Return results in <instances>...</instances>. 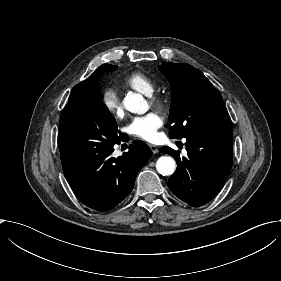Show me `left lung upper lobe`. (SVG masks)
I'll list each match as a JSON object with an SVG mask.
<instances>
[{
    "label": "left lung upper lobe",
    "mask_w": 281,
    "mask_h": 281,
    "mask_svg": "<svg viewBox=\"0 0 281 281\" xmlns=\"http://www.w3.org/2000/svg\"><path fill=\"white\" fill-rule=\"evenodd\" d=\"M160 71L171 85L169 132L172 138L232 131L223 100L211 82L188 64L163 62Z\"/></svg>",
    "instance_id": "left-lung-upper-lobe-1"
}]
</instances>
